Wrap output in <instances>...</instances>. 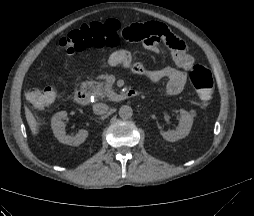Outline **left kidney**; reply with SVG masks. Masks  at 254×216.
Here are the masks:
<instances>
[{
    "instance_id": "5707ae66",
    "label": "left kidney",
    "mask_w": 254,
    "mask_h": 216,
    "mask_svg": "<svg viewBox=\"0 0 254 216\" xmlns=\"http://www.w3.org/2000/svg\"><path fill=\"white\" fill-rule=\"evenodd\" d=\"M179 112L181 116V121L178 127L175 130H170L167 132L160 131L162 137L169 142H175L186 137L190 133V130L192 128V115L184 109H180Z\"/></svg>"
}]
</instances>
